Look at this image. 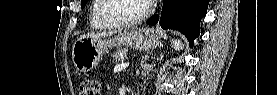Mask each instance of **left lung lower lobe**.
<instances>
[{
	"mask_svg": "<svg viewBox=\"0 0 277 95\" xmlns=\"http://www.w3.org/2000/svg\"><path fill=\"white\" fill-rule=\"evenodd\" d=\"M209 0H163L160 17L153 15L147 20L148 25L157 23L163 29H174L183 33L190 46L199 36L200 21L206 16Z\"/></svg>",
	"mask_w": 277,
	"mask_h": 95,
	"instance_id": "obj_1",
	"label": "left lung lower lobe"
}]
</instances>
